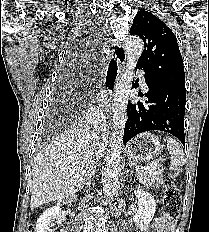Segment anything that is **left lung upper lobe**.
<instances>
[{
	"label": "left lung upper lobe",
	"instance_id": "obj_1",
	"mask_svg": "<svg viewBox=\"0 0 209 232\" xmlns=\"http://www.w3.org/2000/svg\"><path fill=\"white\" fill-rule=\"evenodd\" d=\"M131 35H138L145 50L138 67L159 84L185 90V73L177 39L172 30L151 12L140 10L134 17Z\"/></svg>",
	"mask_w": 209,
	"mask_h": 232
}]
</instances>
